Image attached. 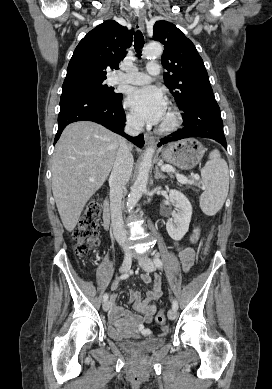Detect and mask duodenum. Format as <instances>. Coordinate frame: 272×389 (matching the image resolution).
Wrapping results in <instances>:
<instances>
[{
  "mask_svg": "<svg viewBox=\"0 0 272 389\" xmlns=\"http://www.w3.org/2000/svg\"><path fill=\"white\" fill-rule=\"evenodd\" d=\"M110 223H111V213H110V208H109V202L106 199L104 201V211H103V225L105 229L110 228Z\"/></svg>",
  "mask_w": 272,
  "mask_h": 389,
  "instance_id": "obj_1",
  "label": "duodenum"
}]
</instances>
